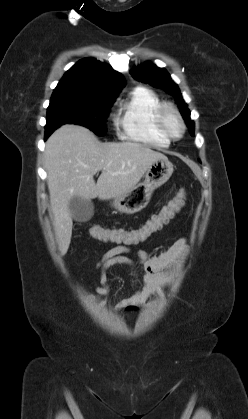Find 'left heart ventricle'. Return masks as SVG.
<instances>
[{
	"mask_svg": "<svg viewBox=\"0 0 248 419\" xmlns=\"http://www.w3.org/2000/svg\"><path fill=\"white\" fill-rule=\"evenodd\" d=\"M166 123H167L168 128L171 130V132H173L174 134H179L180 124L177 118L173 114L169 113L166 116Z\"/></svg>",
	"mask_w": 248,
	"mask_h": 419,
	"instance_id": "1",
	"label": "left heart ventricle"
}]
</instances>
